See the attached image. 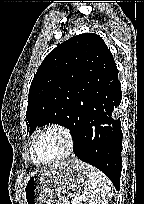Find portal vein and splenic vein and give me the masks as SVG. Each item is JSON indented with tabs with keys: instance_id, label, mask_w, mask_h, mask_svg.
<instances>
[{
	"instance_id": "1",
	"label": "portal vein and splenic vein",
	"mask_w": 144,
	"mask_h": 204,
	"mask_svg": "<svg viewBox=\"0 0 144 204\" xmlns=\"http://www.w3.org/2000/svg\"><path fill=\"white\" fill-rule=\"evenodd\" d=\"M83 200H85V195H82V196L78 197L77 199H75L72 204H77Z\"/></svg>"
}]
</instances>
